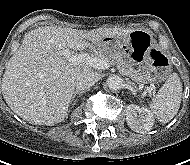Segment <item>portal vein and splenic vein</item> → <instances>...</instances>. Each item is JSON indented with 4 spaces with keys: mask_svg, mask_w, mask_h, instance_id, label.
I'll list each match as a JSON object with an SVG mask.
<instances>
[{
    "mask_svg": "<svg viewBox=\"0 0 190 165\" xmlns=\"http://www.w3.org/2000/svg\"><path fill=\"white\" fill-rule=\"evenodd\" d=\"M61 54L71 63V65H78L80 63H85L93 68L103 69V70L108 69L110 67V64L105 60L98 59L86 53L72 54L68 49H63L61 51ZM139 88L142 89L143 85H139Z\"/></svg>",
    "mask_w": 190,
    "mask_h": 165,
    "instance_id": "1",
    "label": "portal vein and splenic vein"
}]
</instances>
